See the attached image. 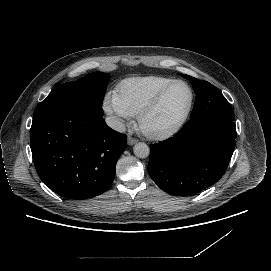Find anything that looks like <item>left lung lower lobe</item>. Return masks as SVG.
Listing matches in <instances>:
<instances>
[{"mask_svg":"<svg viewBox=\"0 0 271 271\" xmlns=\"http://www.w3.org/2000/svg\"><path fill=\"white\" fill-rule=\"evenodd\" d=\"M234 115L191 118L173 137L152 144L148 172L165 192L187 196L216 183L235 148Z\"/></svg>","mask_w":271,"mask_h":271,"instance_id":"left-lung-lower-lobe-1","label":"left lung lower lobe"}]
</instances>
